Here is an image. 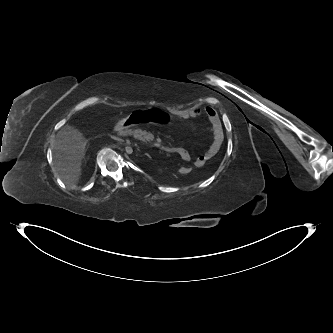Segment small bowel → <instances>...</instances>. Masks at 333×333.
Instances as JSON below:
<instances>
[{
	"mask_svg": "<svg viewBox=\"0 0 333 333\" xmlns=\"http://www.w3.org/2000/svg\"><path fill=\"white\" fill-rule=\"evenodd\" d=\"M206 115L211 123V131L213 135V141L209 148L200 156L194 160V165L196 167H203L207 161L212 159L219 152L222 141H223V132L221 127V122L217 112L213 108H196V109H186L178 114L176 118L180 120H188L200 115ZM171 151L177 154L183 161L188 162L191 159L189 151L183 147H173ZM182 173V172H181Z\"/></svg>",
	"mask_w": 333,
	"mask_h": 333,
	"instance_id": "1",
	"label": "small bowel"
}]
</instances>
